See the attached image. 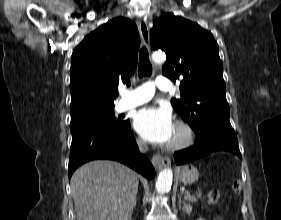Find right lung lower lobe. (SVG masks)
<instances>
[{
    "mask_svg": "<svg viewBox=\"0 0 281 220\" xmlns=\"http://www.w3.org/2000/svg\"><path fill=\"white\" fill-rule=\"evenodd\" d=\"M96 159L116 160L151 179L154 167L141 155L130 129V121L119 129L92 128L72 134L68 174L80 165Z\"/></svg>",
    "mask_w": 281,
    "mask_h": 220,
    "instance_id": "right-lung-lower-lobe-1",
    "label": "right lung lower lobe"
}]
</instances>
